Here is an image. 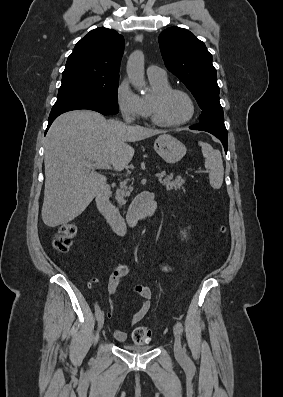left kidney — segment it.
<instances>
[{"label": "left kidney", "instance_id": "5707ae66", "mask_svg": "<svg viewBox=\"0 0 283 397\" xmlns=\"http://www.w3.org/2000/svg\"><path fill=\"white\" fill-rule=\"evenodd\" d=\"M181 235L185 238L186 237V231H181Z\"/></svg>", "mask_w": 283, "mask_h": 397}]
</instances>
